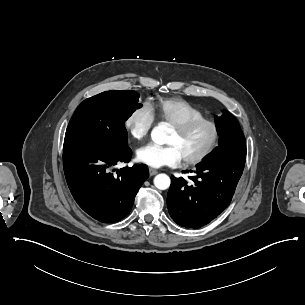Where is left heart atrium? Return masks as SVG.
I'll return each instance as SVG.
<instances>
[{
	"mask_svg": "<svg viewBox=\"0 0 305 305\" xmlns=\"http://www.w3.org/2000/svg\"><path fill=\"white\" fill-rule=\"evenodd\" d=\"M136 156L138 161L151 167L175 165L182 160V155L179 149L172 144H147L137 149Z\"/></svg>",
	"mask_w": 305,
	"mask_h": 305,
	"instance_id": "39dd6f15",
	"label": "left heart atrium"
}]
</instances>
